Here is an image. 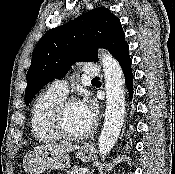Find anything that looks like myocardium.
<instances>
[{"instance_id":"f54148a6","label":"myocardium","mask_w":175,"mask_h":174,"mask_svg":"<svg viewBox=\"0 0 175 174\" xmlns=\"http://www.w3.org/2000/svg\"><path fill=\"white\" fill-rule=\"evenodd\" d=\"M79 103L76 98H64L61 100L53 109L51 115V125L54 132L58 135L60 139L67 141H78L87 138L94 131V124H92L89 129L80 134H71L66 131L63 124V116L67 107L71 104Z\"/></svg>"}]
</instances>
